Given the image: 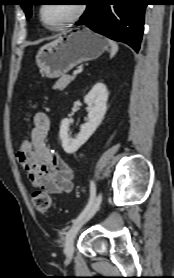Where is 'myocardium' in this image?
<instances>
[{"label": "myocardium", "mask_w": 174, "mask_h": 278, "mask_svg": "<svg viewBox=\"0 0 174 278\" xmlns=\"http://www.w3.org/2000/svg\"><path fill=\"white\" fill-rule=\"evenodd\" d=\"M43 7L44 5H41L40 8H39V18H40V21L41 23L49 30H53V31H57V30H61L73 23H75L77 20H79L82 15L85 13L86 11V4L85 3H81V4H78V9L76 11V13L70 18L68 19L67 21L57 25V26H50L44 19L43 17Z\"/></svg>", "instance_id": "obj_1"}]
</instances>
